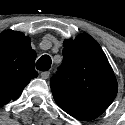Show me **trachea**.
Wrapping results in <instances>:
<instances>
[{
	"instance_id": "trachea-1",
	"label": "trachea",
	"mask_w": 125,
	"mask_h": 125,
	"mask_svg": "<svg viewBox=\"0 0 125 125\" xmlns=\"http://www.w3.org/2000/svg\"><path fill=\"white\" fill-rule=\"evenodd\" d=\"M51 63V57L49 55H43L36 62V68L40 71H48L51 67Z\"/></svg>"
}]
</instances>
